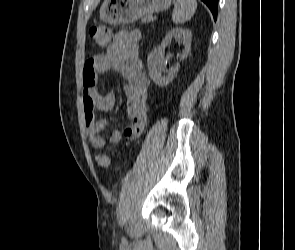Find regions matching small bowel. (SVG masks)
Masks as SVG:
<instances>
[{"mask_svg": "<svg viewBox=\"0 0 295 250\" xmlns=\"http://www.w3.org/2000/svg\"><path fill=\"white\" fill-rule=\"evenodd\" d=\"M141 33L138 30L118 32L106 50L87 60L83 69V107L87 137L93 148L101 149L107 143L115 144L123 137L136 139L148 120V87L141 60L138 56ZM109 69L117 71L125 80L126 113L130 124L122 131L116 130L109 139L101 135L108 120L97 113H106L115 105L113 93L101 94L97 89V77Z\"/></svg>", "mask_w": 295, "mask_h": 250, "instance_id": "obj_1", "label": "small bowel"}]
</instances>
